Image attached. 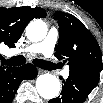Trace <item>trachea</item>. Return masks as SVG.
Listing matches in <instances>:
<instances>
[{
    "label": "trachea",
    "mask_w": 103,
    "mask_h": 103,
    "mask_svg": "<svg viewBox=\"0 0 103 103\" xmlns=\"http://www.w3.org/2000/svg\"><path fill=\"white\" fill-rule=\"evenodd\" d=\"M26 62V59L22 55L14 56L8 60L3 59V65L8 66H20ZM33 63L38 66L39 68L45 69V70H53L55 69V65L51 62L44 61L42 59H34Z\"/></svg>",
    "instance_id": "3493384b"
}]
</instances>
